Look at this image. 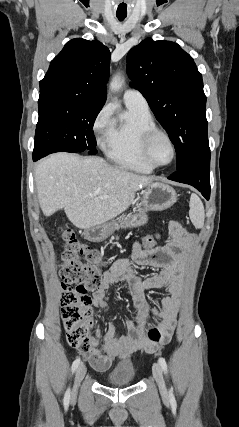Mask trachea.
Segmentation results:
<instances>
[{
	"instance_id": "trachea-1",
	"label": "trachea",
	"mask_w": 239,
	"mask_h": 427,
	"mask_svg": "<svg viewBox=\"0 0 239 427\" xmlns=\"http://www.w3.org/2000/svg\"><path fill=\"white\" fill-rule=\"evenodd\" d=\"M117 18H118L120 21H123V20L126 18V16L117 15Z\"/></svg>"
}]
</instances>
